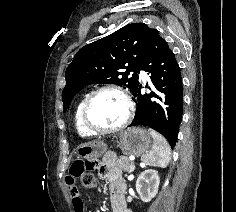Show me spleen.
<instances>
[{
    "instance_id": "obj_1",
    "label": "spleen",
    "mask_w": 236,
    "mask_h": 212,
    "mask_svg": "<svg viewBox=\"0 0 236 212\" xmlns=\"http://www.w3.org/2000/svg\"><path fill=\"white\" fill-rule=\"evenodd\" d=\"M153 138L152 149L141 160L148 166L166 168L170 162V146L166 139L153 129H149Z\"/></svg>"
}]
</instances>
